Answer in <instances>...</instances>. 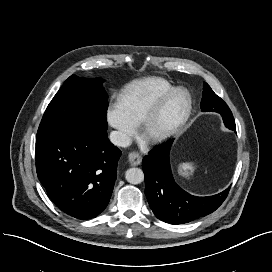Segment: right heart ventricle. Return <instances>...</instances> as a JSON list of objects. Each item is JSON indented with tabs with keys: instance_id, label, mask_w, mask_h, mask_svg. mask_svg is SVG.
Returning <instances> with one entry per match:
<instances>
[{
	"instance_id": "obj_1",
	"label": "right heart ventricle",
	"mask_w": 272,
	"mask_h": 272,
	"mask_svg": "<svg viewBox=\"0 0 272 272\" xmlns=\"http://www.w3.org/2000/svg\"><path fill=\"white\" fill-rule=\"evenodd\" d=\"M172 89V84L160 77L138 79L122 91L119 105L127 118L137 126L144 122L152 107Z\"/></svg>"
}]
</instances>
